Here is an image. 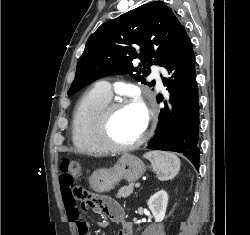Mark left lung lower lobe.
Wrapping results in <instances>:
<instances>
[{
    "instance_id": "obj_1",
    "label": "left lung lower lobe",
    "mask_w": 250,
    "mask_h": 235,
    "mask_svg": "<svg viewBox=\"0 0 250 235\" xmlns=\"http://www.w3.org/2000/svg\"><path fill=\"white\" fill-rule=\"evenodd\" d=\"M163 67L170 74L167 78L161 76L170 99L161 109L158 128L148 148L183 153L198 170L199 95L195 55L184 28Z\"/></svg>"
}]
</instances>
